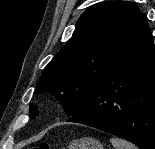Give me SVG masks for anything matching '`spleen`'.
Here are the masks:
<instances>
[{"label":"spleen","mask_w":155,"mask_h":149,"mask_svg":"<svg viewBox=\"0 0 155 149\" xmlns=\"http://www.w3.org/2000/svg\"><path fill=\"white\" fill-rule=\"evenodd\" d=\"M110 142L114 149H138L135 145L129 143L128 141L116 137H112Z\"/></svg>","instance_id":"obj_1"}]
</instances>
